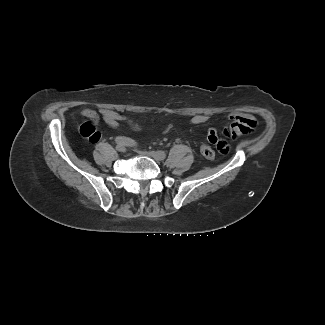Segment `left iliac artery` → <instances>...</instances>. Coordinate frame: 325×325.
I'll return each mask as SVG.
<instances>
[{
	"instance_id": "44dca946",
	"label": "left iliac artery",
	"mask_w": 325,
	"mask_h": 325,
	"mask_svg": "<svg viewBox=\"0 0 325 325\" xmlns=\"http://www.w3.org/2000/svg\"><path fill=\"white\" fill-rule=\"evenodd\" d=\"M157 153L160 160H164L166 158V153L164 151H158Z\"/></svg>"
}]
</instances>
